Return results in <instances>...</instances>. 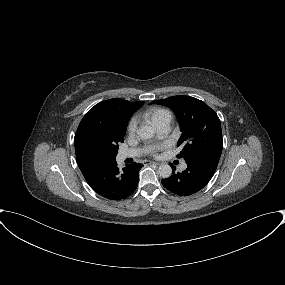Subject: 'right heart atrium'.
Returning <instances> with one entry per match:
<instances>
[{
	"label": "right heart atrium",
	"instance_id": "1",
	"mask_svg": "<svg viewBox=\"0 0 285 285\" xmlns=\"http://www.w3.org/2000/svg\"><path fill=\"white\" fill-rule=\"evenodd\" d=\"M137 127V119L132 117L127 124V133L132 135L135 133Z\"/></svg>",
	"mask_w": 285,
	"mask_h": 285
}]
</instances>
